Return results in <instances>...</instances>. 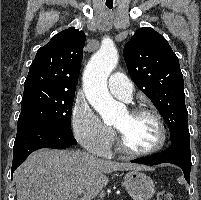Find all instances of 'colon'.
Wrapping results in <instances>:
<instances>
[{"label": "colon", "mask_w": 201, "mask_h": 200, "mask_svg": "<svg viewBox=\"0 0 201 200\" xmlns=\"http://www.w3.org/2000/svg\"><path fill=\"white\" fill-rule=\"evenodd\" d=\"M156 200H174L172 194L168 191H159L156 195Z\"/></svg>", "instance_id": "colon-1"}]
</instances>
